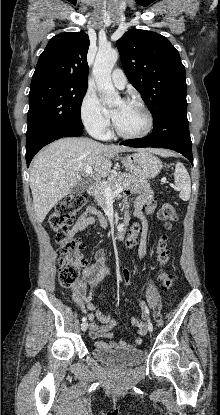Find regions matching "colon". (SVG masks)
<instances>
[{
	"label": "colon",
	"instance_id": "obj_1",
	"mask_svg": "<svg viewBox=\"0 0 220 415\" xmlns=\"http://www.w3.org/2000/svg\"><path fill=\"white\" fill-rule=\"evenodd\" d=\"M87 197L84 194H75L60 202L57 207L48 215V225L56 234V242L60 254V267L58 270V280L62 287L73 286L79 278L83 261L80 255L83 248L82 243L72 234L69 228L76 215L86 205ZM147 212H152L151 206L146 207ZM158 218L163 222L167 230L172 229L177 220V212L174 205L165 203L158 212ZM169 259L168 242L161 238L158 242V261L164 266ZM164 290H169L174 284V277L165 272L159 276ZM124 283L129 282V276L125 271L123 276Z\"/></svg>",
	"mask_w": 220,
	"mask_h": 415
}]
</instances>
